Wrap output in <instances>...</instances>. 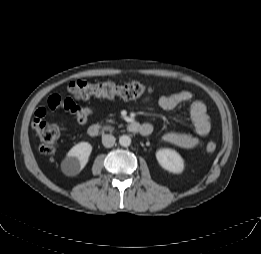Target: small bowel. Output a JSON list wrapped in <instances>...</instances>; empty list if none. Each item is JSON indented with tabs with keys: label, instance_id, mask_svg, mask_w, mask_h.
Masks as SVG:
<instances>
[{
	"label": "small bowel",
	"instance_id": "small-bowel-1",
	"mask_svg": "<svg viewBox=\"0 0 261 254\" xmlns=\"http://www.w3.org/2000/svg\"><path fill=\"white\" fill-rule=\"evenodd\" d=\"M59 97V96H58ZM60 98V97H59ZM193 95L190 91L182 90L175 93L164 94L159 98V105L162 109L170 111L178 106L191 102ZM61 99V98H60ZM148 99H146L147 101ZM49 106V105H48ZM64 108L75 116L77 122L81 126L87 125L88 118L93 114V111L84 106L77 105L73 102H66L61 99V104L56 108ZM42 109V113H37ZM45 108H38L35 112L32 127H37L38 123L43 121L46 115ZM190 117L194 126L195 135L187 133L167 132L162 136V140L166 143L177 146L181 149H193L199 144V137L207 136L210 132L211 125L206 105L201 101H192L189 108ZM144 125H150L145 123ZM153 129V128H152Z\"/></svg>",
	"mask_w": 261,
	"mask_h": 254
}]
</instances>
